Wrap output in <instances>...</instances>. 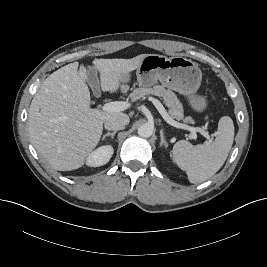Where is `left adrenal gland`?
I'll use <instances>...</instances> for the list:
<instances>
[{
    "label": "left adrenal gland",
    "instance_id": "obj_1",
    "mask_svg": "<svg viewBox=\"0 0 267 267\" xmlns=\"http://www.w3.org/2000/svg\"><path fill=\"white\" fill-rule=\"evenodd\" d=\"M160 146L162 147L163 145L166 147L167 146V142L165 140V136H164V130L162 129L160 131Z\"/></svg>",
    "mask_w": 267,
    "mask_h": 267
}]
</instances>
